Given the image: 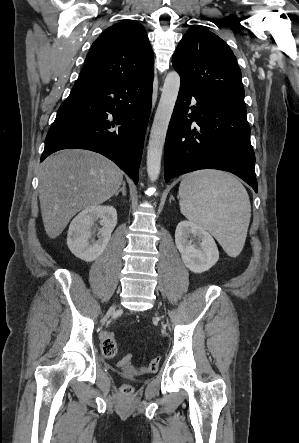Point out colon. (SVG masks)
<instances>
[{"mask_svg":"<svg viewBox=\"0 0 299 443\" xmlns=\"http://www.w3.org/2000/svg\"><path fill=\"white\" fill-rule=\"evenodd\" d=\"M101 349L103 354L108 358L116 356L118 347L116 337L112 332H106L101 336ZM118 365L123 368H127L133 371L149 372L153 373L158 370L159 359L153 358L149 360L145 365L136 368L133 364V358L130 354H125L118 362ZM121 392L128 396L133 392V387L130 384H123L121 386Z\"/></svg>","mask_w":299,"mask_h":443,"instance_id":"1","label":"colon"}]
</instances>
